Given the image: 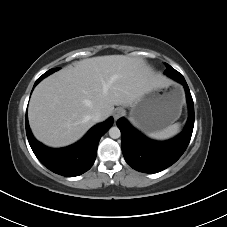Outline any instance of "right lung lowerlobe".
Instances as JSON below:
<instances>
[{
  "label": "right lung lower lobe",
  "instance_id": "obj_1",
  "mask_svg": "<svg viewBox=\"0 0 227 227\" xmlns=\"http://www.w3.org/2000/svg\"><path fill=\"white\" fill-rule=\"evenodd\" d=\"M42 79V77L38 78L34 87ZM25 125L29 144L38 160L56 174L74 177L88 171L94 164L99 140L113 125V118L110 117L94 126L74 145L60 149L48 148L34 138L29 128L27 114Z\"/></svg>",
  "mask_w": 227,
  "mask_h": 227
}]
</instances>
